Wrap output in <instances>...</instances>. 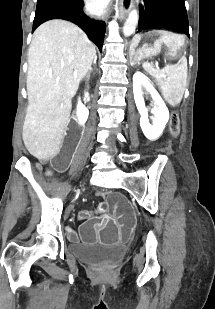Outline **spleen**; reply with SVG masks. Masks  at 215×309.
I'll return each instance as SVG.
<instances>
[{"label":"spleen","instance_id":"spleen-1","mask_svg":"<svg viewBox=\"0 0 215 309\" xmlns=\"http://www.w3.org/2000/svg\"><path fill=\"white\" fill-rule=\"evenodd\" d=\"M142 66L144 70H147L149 74H152V76L159 80L161 92L165 100L171 106H177L181 102L185 88L183 68H179L177 64H166L164 68L157 70V68H153L150 62H143Z\"/></svg>","mask_w":215,"mask_h":309}]
</instances>
